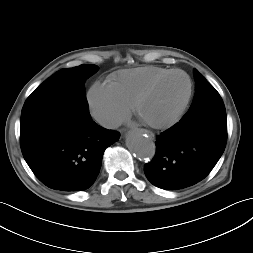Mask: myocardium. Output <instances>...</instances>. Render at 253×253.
Masks as SVG:
<instances>
[{
    "label": "myocardium",
    "mask_w": 253,
    "mask_h": 253,
    "mask_svg": "<svg viewBox=\"0 0 253 253\" xmlns=\"http://www.w3.org/2000/svg\"><path fill=\"white\" fill-rule=\"evenodd\" d=\"M174 74H181L183 75L188 83V90L186 93V96L184 98V100L182 101L180 107L178 108V110L176 111V113L167 121L165 122H160V123H155V122H150L145 120L142 116H141V106L143 104V102L145 101V99L154 91V89L162 82L164 81L166 78L170 77L171 75ZM192 92H193V84H192V80L190 78V76L183 70L180 69H172L164 74H162L161 76L157 77L156 79H154L149 85H147L141 92L140 94L136 97L134 104H133V110L134 113L148 126L155 128V129H167L172 127L173 125H175L183 116V114L185 113L189 102L191 100L192 97Z\"/></svg>",
    "instance_id": "obj_1"
}]
</instances>
